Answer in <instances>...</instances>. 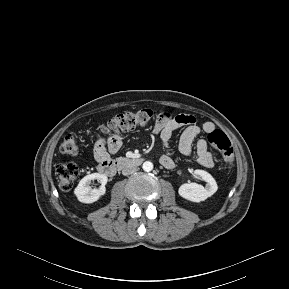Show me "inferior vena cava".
Segmentation results:
<instances>
[{"instance_id": "1", "label": "inferior vena cava", "mask_w": 289, "mask_h": 289, "mask_svg": "<svg viewBox=\"0 0 289 289\" xmlns=\"http://www.w3.org/2000/svg\"><path fill=\"white\" fill-rule=\"evenodd\" d=\"M138 170V168L137 167H125L123 170H122V174L124 175V176H127V175H130V174H132V173H134V172H136Z\"/></svg>"}]
</instances>
